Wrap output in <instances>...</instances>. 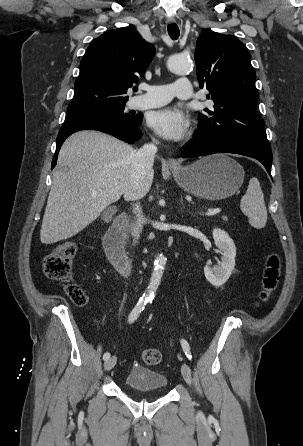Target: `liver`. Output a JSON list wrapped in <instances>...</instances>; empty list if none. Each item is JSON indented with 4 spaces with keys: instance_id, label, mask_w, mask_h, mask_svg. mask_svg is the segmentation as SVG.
<instances>
[{
    "instance_id": "liver-1",
    "label": "liver",
    "mask_w": 303,
    "mask_h": 446,
    "mask_svg": "<svg viewBox=\"0 0 303 446\" xmlns=\"http://www.w3.org/2000/svg\"><path fill=\"white\" fill-rule=\"evenodd\" d=\"M134 153L130 145L96 131H80L68 137L58 155V164L65 170L53 174L41 242L53 244L76 235L122 195L134 200ZM153 176L151 169L141 185V197L149 191ZM93 191H97L96 196H91Z\"/></svg>"
}]
</instances>
